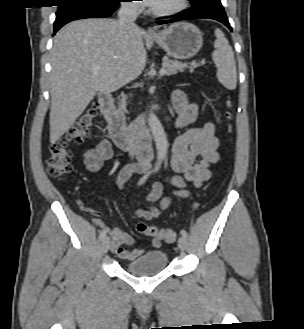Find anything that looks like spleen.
Segmentation results:
<instances>
[{
    "instance_id": "obj_1",
    "label": "spleen",
    "mask_w": 304,
    "mask_h": 329,
    "mask_svg": "<svg viewBox=\"0 0 304 329\" xmlns=\"http://www.w3.org/2000/svg\"><path fill=\"white\" fill-rule=\"evenodd\" d=\"M215 36V51L212 58L217 67V78L224 87L234 90L237 84V73L232 47L220 29L215 30Z\"/></svg>"
}]
</instances>
